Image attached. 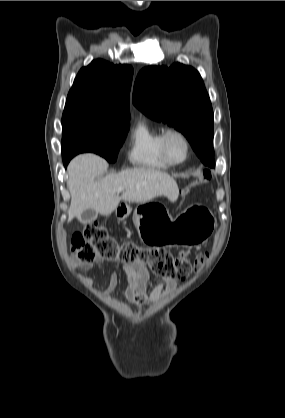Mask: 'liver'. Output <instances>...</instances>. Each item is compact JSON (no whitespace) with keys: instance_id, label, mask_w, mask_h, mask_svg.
<instances>
[{"instance_id":"obj_1","label":"liver","mask_w":285,"mask_h":418,"mask_svg":"<svg viewBox=\"0 0 285 418\" xmlns=\"http://www.w3.org/2000/svg\"><path fill=\"white\" fill-rule=\"evenodd\" d=\"M108 163L95 154L76 156L68 165L67 186L71 194L68 221L80 219L83 211L94 209L101 215H110L121 200L146 203L157 196H166L174 202L179 196L176 181L169 174L147 168H133L117 174H108L96 181L106 171ZM123 188L119 196L117 189Z\"/></svg>"}]
</instances>
